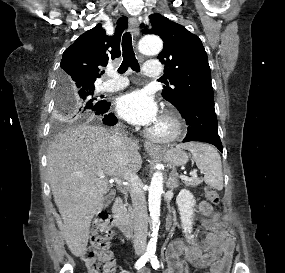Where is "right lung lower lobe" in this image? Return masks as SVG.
I'll use <instances>...</instances> for the list:
<instances>
[{"label":"right lung lower lobe","instance_id":"1","mask_svg":"<svg viewBox=\"0 0 285 273\" xmlns=\"http://www.w3.org/2000/svg\"><path fill=\"white\" fill-rule=\"evenodd\" d=\"M110 105H111L110 103L103 100L102 103L98 106L97 110L95 111V114L103 115L107 113L110 108ZM102 120L105 124L110 126L117 123V119L112 113L104 115V118Z\"/></svg>","mask_w":285,"mask_h":273}]
</instances>
